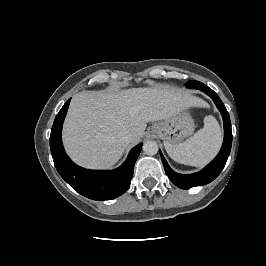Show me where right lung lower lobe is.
I'll return each instance as SVG.
<instances>
[{
	"label": "right lung lower lobe",
	"mask_w": 266,
	"mask_h": 266,
	"mask_svg": "<svg viewBox=\"0 0 266 266\" xmlns=\"http://www.w3.org/2000/svg\"><path fill=\"white\" fill-rule=\"evenodd\" d=\"M70 100L57 114L51 129L50 149L54 165L60 176L81 195L98 201L114 199L128 190L142 144L134 147L126 161L115 170H88L77 166L66 155L61 139Z\"/></svg>",
	"instance_id": "obj_1"
}]
</instances>
